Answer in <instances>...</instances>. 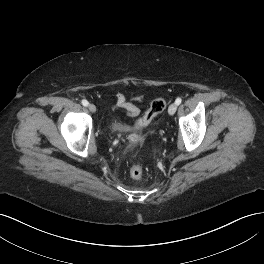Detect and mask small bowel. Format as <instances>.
<instances>
[{
	"instance_id": "c3829d8e",
	"label": "small bowel",
	"mask_w": 264,
	"mask_h": 264,
	"mask_svg": "<svg viewBox=\"0 0 264 264\" xmlns=\"http://www.w3.org/2000/svg\"><path fill=\"white\" fill-rule=\"evenodd\" d=\"M132 100L135 102H142L143 101V96L142 95H134L132 96ZM116 108L125 112L129 116H137L140 113L139 108L128 102L126 100V97L124 94L119 93L116 96Z\"/></svg>"
}]
</instances>
